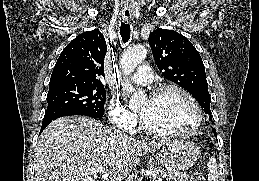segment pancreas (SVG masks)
<instances>
[{
	"label": "pancreas",
	"mask_w": 259,
	"mask_h": 181,
	"mask_svg": "<svg viewBox=\"0 0 259 181\" xmlns=\"http://www.w3.org/2000/svg\"><path fill=\"white\" fill-rule=\"evenodd\" d=\"M149 171L162 181H187L188 175L174 170H164L160 168L150 167Z\"/></svg>",
	"instance_id": "1"
}]
</instances>
